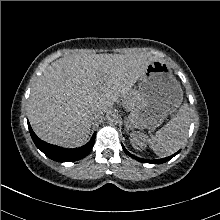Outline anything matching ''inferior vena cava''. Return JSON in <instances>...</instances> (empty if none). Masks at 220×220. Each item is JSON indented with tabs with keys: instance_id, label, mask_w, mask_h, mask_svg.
Wrapping results in <instances>:
<instances>
[{
	"instance_id": "1",
	"label": "inferior vena cava",
	"mask_w": 220,
	"mask_h": 220,
	"mask_svg": "<svg viewBox=\"0 0 220 220\" xmlns=\"http://www.w3.org/2000/svg\"><path fill=\"white\" fill-rule=\"evenodd\" d=\"M103 117V112L101 110H94L91 112V120L92 121H98L102 119Z\"/></svg>"
}]
</instances>
